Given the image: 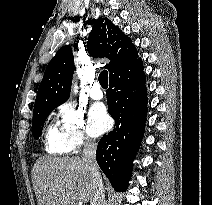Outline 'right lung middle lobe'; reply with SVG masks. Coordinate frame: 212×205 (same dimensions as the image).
Masks as SVG:
<instances>
[{"mask_svg":"<svg viewBox=\"0 0 212 205\" xmlns=\"http://www.w3.org/2000/svg\"><path fill=\"white\" fill-rule=\"evenodd\" d=\"M59 105H44L33 110L32 135L35 139L41 136L47 116Z\"/></svg>","mask_w":212,"mask_h":205,"instance_id":"dd1d6c3e","label":"right lung middle lobe"}]
</instances>
